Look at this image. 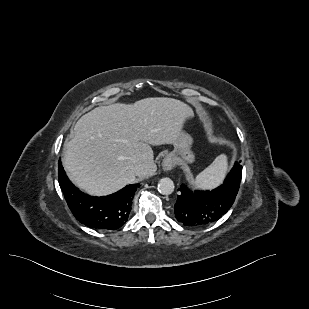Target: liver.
I'll return each instance as SVG.
<instances>
[{"instance_id": "liver-1", "label": "liver", "mask_w": 309, "mask_h": 309, "mask_svg": "<svg viewBox=\"0 0 309 309\" xmlns=\"http://www.w3.org/2000/svg\"><path fill=\"white\" fill-rule=\"evenodd\" d=\"M192 109L180 100L151 97L134 104L96 107L75 124L65 143L63 166L69 178L88 194H112L138 176L154 175L151 145H176ZM136 159L142 170L134 171Z\"/></svg>"}]
</instances>
